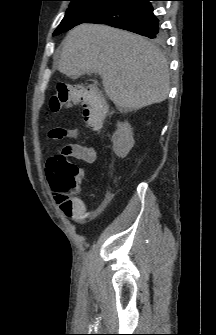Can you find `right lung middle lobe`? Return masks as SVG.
<instances>
[{"mask_svg":"<svg viewBox=\"0 0 216 335\" xmlns=\"http://www.w3.org/2000/svg\"><path fill=\"white\" fill-rule=\"evenodd\" d=\"M71 1L66 11L65 17L54 32V36L70 30L74 26L85 23L90 18L107 8L116 0H68ZM163 35L160 34L154 39L162 40Z\"/></svg>","mask_w":216,"mask_h":335,"instance_id":"dd1d6c3e","label":"right lung middle lobe"}]
</instances>
